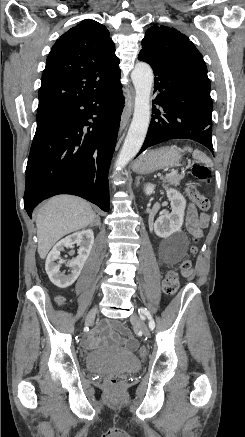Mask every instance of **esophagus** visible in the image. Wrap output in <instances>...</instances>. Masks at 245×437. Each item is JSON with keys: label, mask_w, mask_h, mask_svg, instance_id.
Here are the masks:
<instances>
[{"label": "esophagus", "mask_w": 245, "mask_h": 437, "mask_svg": "<svg viewBox=\"0 0 245 437\" xmlns=\"http://www.w3.org/2000/svg\"><path fill=\"white\" fill-rule=\"evenodd\" d=\"M128 119V112L126 111L121 118V130L123 129V127L125 126L126 122Z\"/></svg>", "instance_id": "esophagus-1"}]
</instances>
